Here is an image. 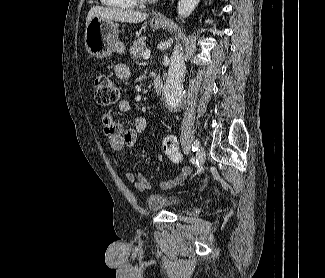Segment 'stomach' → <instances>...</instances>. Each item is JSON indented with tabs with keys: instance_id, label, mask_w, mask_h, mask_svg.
I'll return each mask as SVG.
<instances>
[{
	"instance_id": "stomach-1",
	"label": "stomach",
	"mask_w": 325,
	"mask_h": 278,
	"mask_svg": "<svg viewBox=\"0 0 325 278\" xmlns=\"http://www.w3.org/2000/svg\"><path fill=\"white\" fill-rule=\"evenodd\" d=\"M163 21L150 20V26L158 29ZM85 46L96 58H105L113 52L123 53L125 46L119 41L118 24L112 20L93 17L86 26Z\"/></svg>"
}]
</instances>
